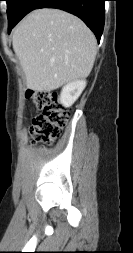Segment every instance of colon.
<instances>
[{"label": "colon", "mask_w": 133, "mask_h": 253, "mask_svg": "<svg viewBox=\"0 0 133 253\" xmlns=\"http://www.w3.org/2000/svg\"><path fill=\"white\" fill-rule=\"evenodd\" d=\"M39 113L33 118L31 134L33 138L42 143H50L61 134L68 122V114L60 103L56 92L28 91L26 94Z\"/></svg>", "instance_id": "obj_1"}]
</instances>
